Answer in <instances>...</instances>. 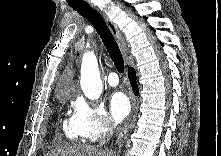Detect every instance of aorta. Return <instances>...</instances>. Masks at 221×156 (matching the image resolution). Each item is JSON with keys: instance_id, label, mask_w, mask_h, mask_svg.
Instances as JSON below:
<instances>
[{"instance_id": "762f6f07", "label": "aorta", "mask_w": 221, "mask_h": 156, "mask_svg": "<svg viewBox=\"0 0 221 156\" xmlns=\"http://www.w3.org/2000/svg\"><path fill=\"white\" fill-rule=\"evenodd\" d=\"M80 85L84 95L90 100H97L102 93V81L96 56L86 52L82 59Z\"/></svg>"}]
</instances>
